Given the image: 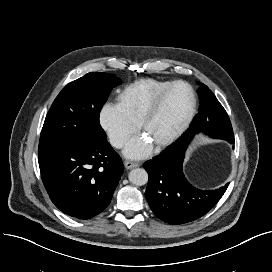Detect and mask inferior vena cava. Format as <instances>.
Listing matches in <instances>:
<instances>
[{
    "label": "inferior vena cava",
    "mask_w": 272,
    "mask_h": 272,
    "mask_svg": "<svg viewBox=\"0 0 272 272\" xmlns=\"http://www.w3.org/2000/svg\"><path fill=\"white\" fill-rule=\"evenodd\" d=\"M125 139L123 137H113L111 138V144L116 148H121L124 144Z\"/></svg>",
    "instance_id": "1"
}]
</instances>
